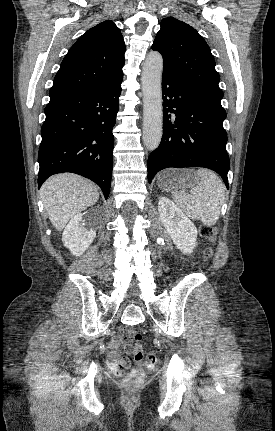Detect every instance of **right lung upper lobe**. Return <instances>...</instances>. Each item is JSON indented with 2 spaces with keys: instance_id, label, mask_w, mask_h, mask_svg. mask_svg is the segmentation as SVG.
Returning <instances> with one entry per match:
<instances>
[{
  "instance_id": "right-lung-upper-lobe-1",
  "label": "right lung upper lobe",
  "mask_w": 275,
  "mask_h": 431,
  "mask_svg": "<svg viewBox=\"0 0 275 431\" xmlns=\"http://www.w3.org/2000/svg\"><path fill=\"white\" fill-rule=\"evenodd\" d=\"M124 53L122 34L112 21L91 28L64 57L50 89V99L108 87L120 81Z\"/></svg>"
}]
</instances>
